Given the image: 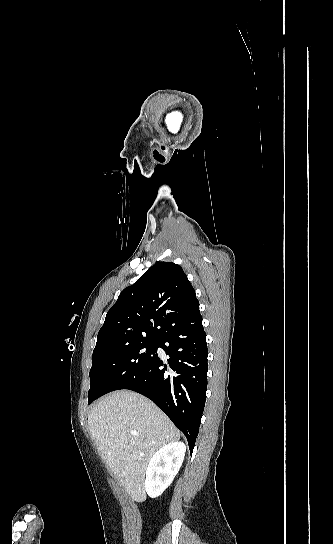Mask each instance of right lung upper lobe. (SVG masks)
Masks as SVG:
<instances>
[{
  "mask_svg": "<svg viewBox=\"0 0 333 544\" xmlns=\"http://www.w3.org/2000/svg\"><path fill=\"white\" fill-rule=\"evenodd\" d=\"M198 315L199 301L183 269L173 262H157L120 293L99 330L93 354L137 339L159 340Z\"/></svg>",
  "mask_w": 333,
  "mask_h": 544,
  "instance_id": "right-lung-upper-lobe-1",
  "label": "right lung upper lobe"
}]
</instances>
